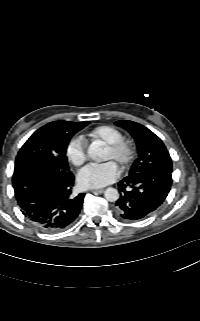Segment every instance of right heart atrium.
I'll return each mask as SVG.
<instances>
[{
	"label": "right heart atrium",
	"mask_w": 200,
	"mask_h": 321,
	"mask_svg": "<svg viewBox=\"0 0 200 321\" xmlns=\"http://www.w3.org/2000/svg\"><path fill=\"white\" fill-rule=\"evenodd\" d=\"M87 145L83 138L73 137L66 146V155L75 166L82 165L86 160Z\"/></svg>",
	"instance_id": "right-heart-atrium-1"
}]
</instances>
